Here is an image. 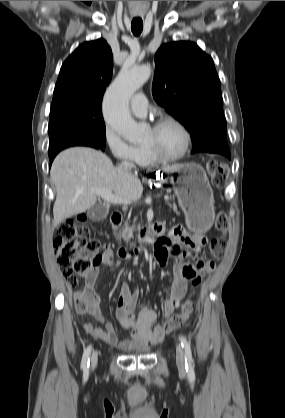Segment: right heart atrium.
Masks as SVG:
<instances>
[{"mask_svg":"<svg viewBox=\"0 0 285 418\" xmlns=\"http://www.w3.org/2000/svg\"><path fill=\"white\" fill-rule=\"evenodd\" d=\"M103 142L112 156L123 164L136 162V148L120 136L111 126L106 125Z\"/></svg>","mask_w":285,"mask_h":418,"instance_id":"obj_1","label":"right heart atrium"}]
</instances>
